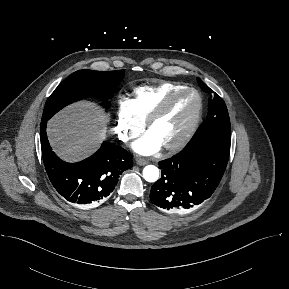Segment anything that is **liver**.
<instances>
[{
	"mask_svg": "<svg viewBox=\"0 0 289 289\" xmlns=\"http://www.w3.org/2000/svg\"><path fill=\"white\" fill-rule=\"evenodd\" d=\"M48 137L54 151L75 162L93 153L106 136L104 115L99 107L82 101L66 107L48 122Z\"/></svg>",
	"mask_w": 289,
	"mask_h": 289,
	"instance_id": "1",
	"label": "liver"
}]
</instances>
